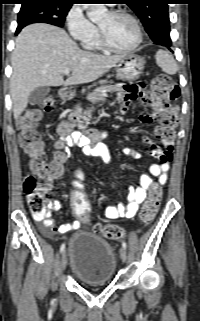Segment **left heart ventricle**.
I'll return each instance as SVG.
<instances>
[{"label": "left heart ventricle", "instance_id": "left-heart-ventricle-1", "mask_svg": "<svg viewBox=\"0 0 200 321\" xmlns=\"http://www.w3.org/2000/svg\"><path fill=\"white\" fill-rule=\"evenodd\" d=\"M98 26L104 31L110 43L117 48H128L137 39L135 25L126 17H112L106 14Z\"/></svg>", "mask_w": 200, "mask_h": 321}]
</instances>
